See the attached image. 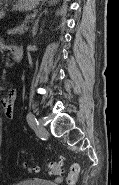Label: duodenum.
<instances>
[{"label": "duodenum", "instance_id": "obj_1", "mask_svg": "<svg viewBox=\"0 0 119 185\" xmlns=\"http://www.w3.org/2000/svg\"><path fill=\"white\" fill-rule=\"evenodd\" d=\"M12 55H13V58L16 62H20L22 60V57H23V51L19 47H14L12 49Z\"/></svg>", "mask_w": 119, "mask_h": 185}]
</instances>
